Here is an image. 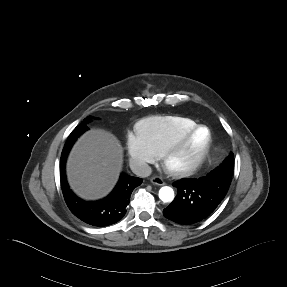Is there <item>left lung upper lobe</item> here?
Wrapping results in <instances>:
<instances>
[{
  "label": "left lung upper lobe",
  "mask_w": 287,
  "mask_h": 287,
  "mask_svg": "<svg viewBox=\"0 0 287 287\" xmlns=\"http://www.w3.org/2000/svg\"><path fill=\"white\" fill-rule=\"evenodd\" d=\"M233 162H234V156L231 153L225 160L224 162L217 167V169H224L226 170L225 173L227 175H229V177L231 178L232 176V171H233Z\"/></svg>",
  "instance_id": "obj_1"
}]
</instances>
